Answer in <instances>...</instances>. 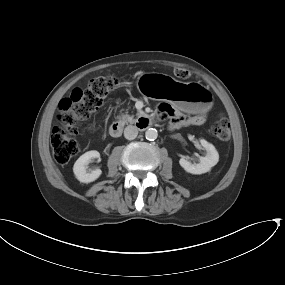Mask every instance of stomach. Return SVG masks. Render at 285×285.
<instances>
[{
	"label": "stomach",
	"instance_id": "obj_1",
	"mask_svg": "<svg viewBox=\"0 0 285 285\" xmlns=\"http://www.w3.org/2000/svg\"><path fill=\"white\" fill-rule=\"evenodd\" d=\"M137 88L149 98H165L190 114L207 112L213 105V96L205 86L197 82H181L166 74L143 73L137 79ZM161 89L167 93L162 94Z\"/></svg>",
	"mask_w": 285,
	"mask_h": 285
}]
</instances>
